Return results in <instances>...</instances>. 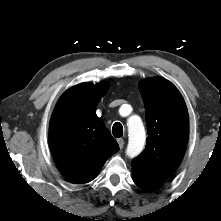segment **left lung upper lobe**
<instances>
[{
	"label": "left lung upper lobe",
	"instance_id": "obj_1",
	"mask_svg": "<svg viewBox=\"0 0 221 221\" xmlns=\"http://www.w3.org/2000/svg\"><path fill=\"white\" fill-rule=\"evenodd\" d=\"M147 123L145 150L132 165L160 181L167 179L179 166L188 141V112L177 88L162 77L140 82Z\"/></svg>",
	"mask_w": 221,
	"mask_h": 221
}]
</instances>
